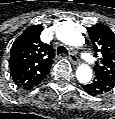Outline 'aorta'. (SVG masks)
<instances>
[{
	"label": "aorta",
	"mask_w": 115,
	"mask_h": 119,
	"mask_svg": "<svg viewBox=\"0 0 115 119\" xmlns=\"http://www.w3.org/2000/svg\"><path fill=\"white\" fill-rule=\"evenodd\" d=\"M56 36L61 42L70 46L79 47L85 43L82 34L70 24L59 26L56 30ZM76 77L79 82L87 83L92 78V69L88 65L82 64L76 70Z\"/></svg>",
	"instance_id": "obj_1"
}]
</instances>
